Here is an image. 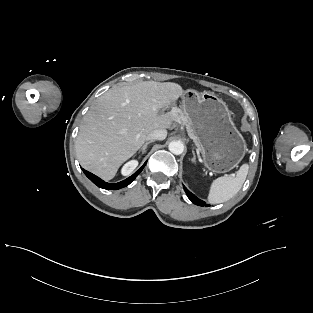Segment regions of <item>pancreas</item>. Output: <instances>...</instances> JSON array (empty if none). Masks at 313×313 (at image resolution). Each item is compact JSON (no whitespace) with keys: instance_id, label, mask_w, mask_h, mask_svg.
<instances>
[{"instance_id":"obj_1","label":"pancreas","mask_w":313,"mask_h":313,"mask_svg":"<svg viewBox=\"0 0 313 313\" xmlns=\"http://www.w3.org/2000/svg\"><path fill=\"white\" fill-rule=\"evenodd\" d=\"M177 120H180L187 128V131L189 133V135L191 136V138L193 139V141L195 142V144L197 143V138L196 136L193 134L192 132V129L190 127V122L189 120L187 119V117L183 114L182 111H179V115H178V118ZM197 146V145H196ZM199 147V146H197Z\"/></svg>"}]
</instances>
